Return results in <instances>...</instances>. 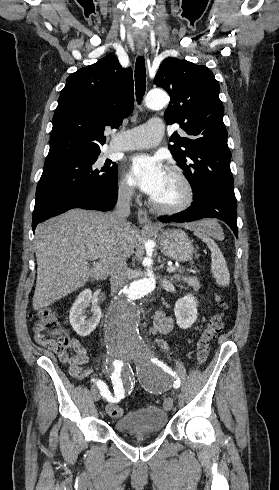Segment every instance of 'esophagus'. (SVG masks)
<instances>
[{
    "mask_svg": "<svg viewBox=\"0 0 279 490\" xmlns=\"http://www.w3.org/2000/svg\"><path fill=\"white\" fill-rule=\"evenodd\" d=\"M137 48H138V51L140 53H143V51H144V46L143 45H137ZM137 216H138V221H139V223L141 225H144L147 228H155L156 227L152 222H150L148 220L147 212L143 208H140L138 210Z\"/></svg>",
    "mask_w": 279,
    "mask_h": 490,
    "instance_id": "esophagus-1",
    "label": "esophagus"
}]
</instances>
